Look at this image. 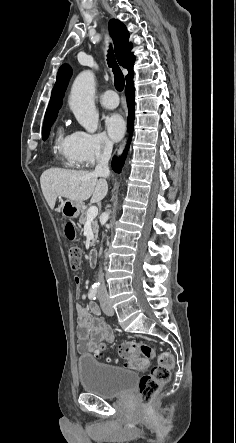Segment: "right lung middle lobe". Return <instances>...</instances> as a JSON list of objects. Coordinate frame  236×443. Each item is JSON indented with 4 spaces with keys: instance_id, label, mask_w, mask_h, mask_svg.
<instances>
[{
    "instance_id": "right-lung-middle-lobe-1",
    "label": "right lung middle lobe",
    "mask_w": 236,
    "mask_h": 443,
    "mask_svg": "<svg viewBox=\"0 0 236 443\" xmlns=\"http://www.w3.org/2000/svg\"><path fill=\"white\" fill-rule=\"evenodd\" d=\"M55 119H56V117L44 122V126H43V140H46L48 138L51 126L53 125Z\"/></svg>"
}]
</instances>
